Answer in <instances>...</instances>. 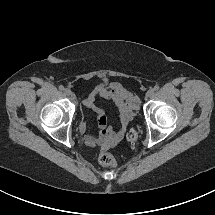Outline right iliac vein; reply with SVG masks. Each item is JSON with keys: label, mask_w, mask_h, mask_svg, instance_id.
I'll return each mask as SVG.
<instances>
[{"label": "right iliac vein", "mask_w": 215, "mask_h": 215, "mask_svg": "<svg viewBox=\"0 0 215 215\" xmlns=\"http://www.w3.org/2000/svg\"><path fill=\"white\" fill-rule=\"evenodd\" d=\"M64 93L68 96H70L72 94L71 90L68 88L64 89Z\"/></svg>", "instance_id": "63e3f726"}]
</instances>
